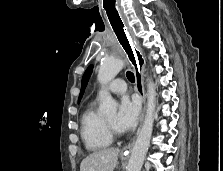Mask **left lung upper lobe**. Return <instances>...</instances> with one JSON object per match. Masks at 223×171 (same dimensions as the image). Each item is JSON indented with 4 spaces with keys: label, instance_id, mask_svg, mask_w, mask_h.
<instances>
[{
    "label": "left lung upper lobe",
    "instance_id": "1",
    "mask_svg": "<svg viewBox=\"0 0 223 171\" xmlns=\"http://www.w3.org/2000/svg\"><path fill=\"white\" fill-rule=\"evenodd\" d=\"M92 69H93V65H90L83 75L82 83H81V91H80L78 102H80V100L83 96L84 90L86 88V85H87L90 75L92 73Z\"/></svg>",
    "mask_w": 223,
    "mask_h": 171
}]
</instances>
